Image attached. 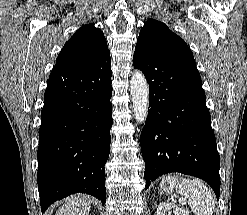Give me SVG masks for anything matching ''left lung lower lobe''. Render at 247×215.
<instances>
[{
    "label": "left lung lower lobe",
    "instance_id": "obj_1",
    "mask_svg": "<svg viewBox=\"0 0 247 215\" xmlns=\"http://www.w3.org/2000/svg\"><path fill=\"white\" fill-rule=\"evenodd\" d=\"M133 65L149 83L150 109L140 136L146 189L159 176L180 172L206 181L219 199L220 157L195 63L136 45Z\"/></svg>",
    "mask_w": 247,
    "mask_h": 215
}]
</instances>
